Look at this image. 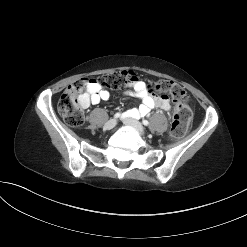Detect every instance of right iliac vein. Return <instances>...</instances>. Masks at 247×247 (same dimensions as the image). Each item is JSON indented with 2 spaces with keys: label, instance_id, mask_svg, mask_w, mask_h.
I'll use <instances>...</instances> for the list:
<instances>
[{
  "label": "right iliac vein",
  "instance_id": "63e3f726",
  "mask_svg": "<svg viewBox=\"0 0 247 247\" xmlns=\"http://www.w3.org/2000/svg\"><path fill=\"white\" fill-rule=\"evenodd\" d=\"M117 124V120L116 119H110L109 121H107L104 125L105 129L110 130L113 129Z\"/></svg>",
  "mask_w": 247,
  "mask_h": 247
}]
</instances>
